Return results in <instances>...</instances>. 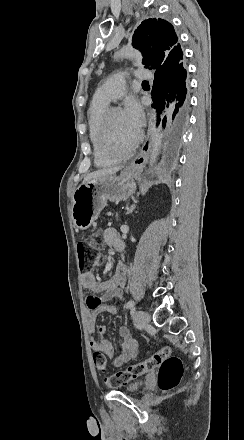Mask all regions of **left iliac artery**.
Masks as SVG:
<instances>
[{
  "label": "left iliac artery",
  "mask_w": 244,
  "mask_h": 440,
  "mask_svg": "<svg viewBox=\"0 0 244 440\" xmlns=\"http://www.w3.org/2000/svg\"><path fill=\"white\" fill-rule=\"evenodd\" d=\"M127 309H134L135 308V302L133 300H130L126 304Z\"/></svg>",
  "instance_id": "left-iliac-artery-1"
}]
</instances>
